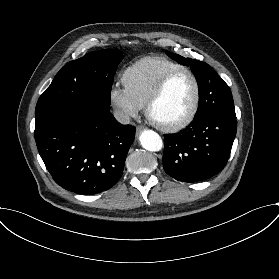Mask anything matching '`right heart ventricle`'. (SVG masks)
I'll return each instance as SVG.
<instances>
[{"instance_id": "e07e8e85", "label": "right heart ventricle", "mask_w": 279, "mask_h": 279, "mask_svg": "<svg viewBox=\"0 0 279 279\" xmlns=\"http://www.w3.org/2000/svg\"><path fill=\"white\" fill-rule=\"evenodd\" d=\"M180 69H185V66L166 58H144L126 71L124 81L131 90L147 102L160 81L167 74Z\"/></svg>"}]
</instances>
